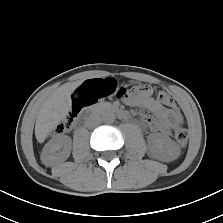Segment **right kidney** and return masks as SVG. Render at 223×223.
I'll return each instance as SVG.
<instances>
[{"instance_id":"1","label":"right kidney","mask_w":223,"mask_h":223,"mask_svg":"<svg viewBox=\"0 0 223 223\" xmlns=\"http://www.w3.org/2000/svg\"><path fill=\"white\" fill-rule=\"evenodd\" d=\"M72 140L68 136H60L46 144L41 153L42 162L51 166L56 162L65 161L71 153Z\"/></svg>"}]
</instances>
